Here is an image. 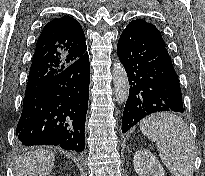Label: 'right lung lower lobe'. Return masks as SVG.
I'll use <instances>...</instances> for the list:
<instances>
[{
  "instance_id": "1",
  "label": "right lung lower lobe",
  "mask_w": 205,
  "mask_h": 176,
  "mask_svg": "<svg viewBox=\"0 0 205 176\" xmlns=\"http://www.w3.org/2000/svg\"><path fill=\"white\" fill-rule=\"evenodd\" d=\"M90 63L88 53L62 72L25 93L16 129L25 146L54 145L82 152L88 107Z\"/></svg>"
}]
</instances>
